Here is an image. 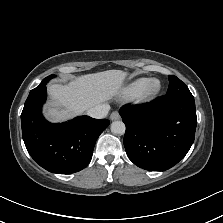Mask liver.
I'll return each instance as SVG.
<instances>
[{
  "mask_svg": "<svg viewBox=\"0 0 223 223\" xmlns=\"http://www.w3.org/2000/svg\"><path fill=\"white\" fill-rule=\"evenodd\" d=\"M130 71L111 69L81 74L65 84L47 85L51 99L42 105L44 118L51 123L69 121L99 104L120 96Z\"/></svg>",
  "mask_w": 223,
  "mask_h": 223,
  "instance_id": "1",
  "label": "liver"
}]
</instances>
